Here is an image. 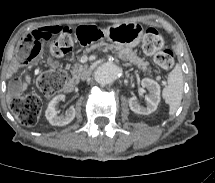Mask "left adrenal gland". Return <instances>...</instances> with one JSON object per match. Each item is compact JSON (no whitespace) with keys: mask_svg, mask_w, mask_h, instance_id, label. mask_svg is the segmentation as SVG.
Segmentation results:
<instances>
[{"mask_svg":"<svg viewBox=\"0 0 215 183\" xmlns=\"http://www.w3.org/2000/svg\"><path fill=\"white\" fill-rule=\"evenodd\" d=\"M124 66H130V64H124Z\"/></svg>","mask_w":215,"mask_h":183,"instance_id":"left-adrenal-gland-1","label":"left adrenal gland"}]
</instances>
